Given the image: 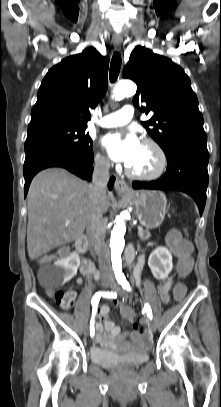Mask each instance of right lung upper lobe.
I'll use <instances>...</instances> for the list:
<instances>
[{
    "label": "right lung upper lobe",
    "mask_w": 221,
    "mask_h": 407,
    "mask_svg": "<svg viewBox=\"0 0 221 407\" xmlns=\"http://www.w3.org/2000/svg\"><path fill=\"white\" fill-rule=\"evenodd\" d=\"M109 58L94 48L63 59L52 67L38 90L28 128L69 124L87 126L108 86Z\"/></svg>",
    "instance_id": "right-lung-upper-lobe-1"
}]
</instances>
